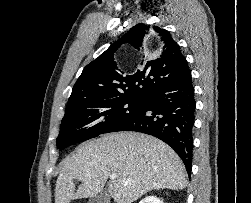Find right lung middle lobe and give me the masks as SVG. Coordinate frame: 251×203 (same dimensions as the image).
Masks as SVG:
<instances>
[{
    "label": "right lung middle lobe",
    "instance_id": "dd1d6c3e",
    "mask_svg": "<svg viewBox=\"0 0 251 203\" xmlns=\"http://www.w3.org/2000/svg\"><path fill=\"white\" fill-rule=\"evenodd\" d=\"M143 106V100L115 98L90 100L66 106L56 140L57 149L112 132Z\"/></svg>",
    "mask_w": 251,
    "mask_h": 203
}]
</instances>
